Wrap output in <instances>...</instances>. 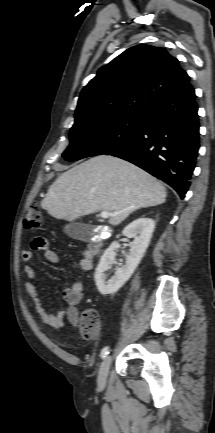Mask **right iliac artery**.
<instances>
[{"mask_svg": "<svg viewBox=\"0 0 215 433\" xmlns=\"http://www.w3.org/2000/svg\"><path fill=\"white\" fill-rule=\"evenodd\" d=\"M109 354V347L106 346L101 351V358L104 359Z\"/></svg>", "mask_w": 215, "mask_h": 433, "instance_id": "right-iliac-artery-1", "label": "right iliac artery"}]
</instances>
